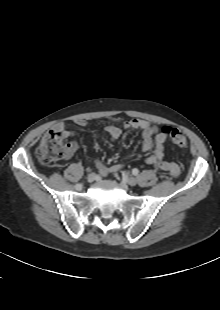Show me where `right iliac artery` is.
<instances>
[{
    "label": "right iliac artery",
    "instance_id": "1",
    "mask_svg": "<svg viewBox=\"0 0 220 310\" xmlns=\"http://www.w3.org/2000/svg\"><path fill=\"white\" fill-rule=\"evenodd\" d=\"M82 187L83 185L81 183L75 185L76 190H81Z\"/></svg>",
    "mask_w": 220,
    "mask_h": 310
}]
</instances>
